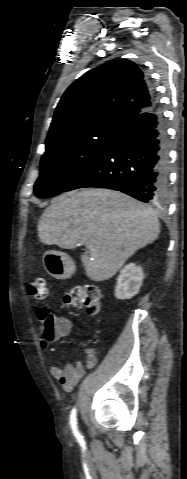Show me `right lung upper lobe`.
Here are the masks:
<instances>
[{
    "label": "right lung upper lobe",
    "instance_id": "cb5924a9",
    "mask_svg": "<svg viewBox=\"0 0 187 479\" xmlns=\"http://www.w3.org/2000/svg\"><path fill=\"white\" fill-rule=\"evenodd\" d=\"M155 103V95L135 63L125 59L108 62L86 72L65 91L46 142L95 125L122 129Z\"/></svg>",
    "mask_w": 187,
    "mask_h": 479
}]
</instances>
